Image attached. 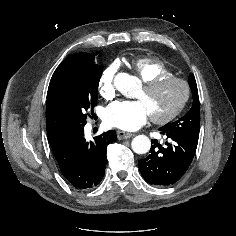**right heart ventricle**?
<instances>
[{"mask_svg": "<svg viewBox=\"0 0 236 236\" xmlns=\"http://www.w3.org/2000/svg\"><path fill=\"white\" fill-rule=\"evenodd\" d=\"M132 67L143 83L158 77L173 75L165 63L156 57H139L133 60Z\"/></svg>", "mask_w": 236, "mask_h": 236, "instance_id": "obj_1", "label": "right heart ventricle"}]
</instances>
